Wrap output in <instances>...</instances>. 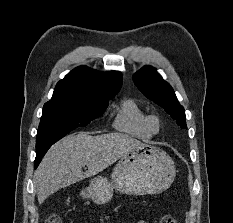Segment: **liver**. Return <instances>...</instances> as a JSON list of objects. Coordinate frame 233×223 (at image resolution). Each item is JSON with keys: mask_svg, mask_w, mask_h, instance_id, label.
<instances>
[{"mask_svg": "<svg viewBox=\"0 0 233 223\" xmlns=\"http://www.w3.org/2000/svg\"><path fill=\"white\" fill-rule=\"evenodd\" d=\"M135 145H141V141L126 133L89 135L80 131L63 137L50 147L35 171L39 203L61 187L100 173ZM85 165L88 169L82 171Z\"/></svg>", "mask_w": 233, "mask_h": 223, "instance_id": "obj_1", "label": "liver"}]
</instances>
